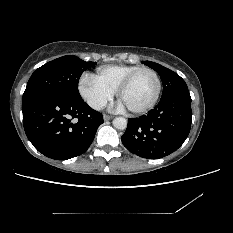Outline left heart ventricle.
<instances>
[{"label": "left heart ventricle", "mask_w": 233, "mask_h": 233, "mask_svg": "<svg viewBox=\"0 0 233 233\" xmlns=\"http://www.w3.org/2000/svg\"><path fill=\"white\" fill-rule=\"evenodd\" d=\"M156 92V80L152 73L139 75L121 95L120 101L126 108H141L147 105Z\"/></svg>", "instance_id": "b2bd125f"}]
</instances>
